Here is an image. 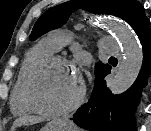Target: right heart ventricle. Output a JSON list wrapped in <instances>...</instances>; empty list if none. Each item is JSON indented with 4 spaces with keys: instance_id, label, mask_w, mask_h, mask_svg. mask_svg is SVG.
<instances>
[{
    "instance_id": "right-heart-ventricle-1",
    "label": "right heart ventricle",
    "mask_w": 151,
    "mask_h": 131,
    "mask_svg": "<svg viewBox=\"0 0 151 131\" xmlns=\"http://www.w3.org/2000/svg\"><path fill=\"white\" fill-rule=\"evenodd\" d=\"M54 52L55 50L50 44L46 40H42L25 55L10 97V108L14 115L22 116L32 112L24 101L26 76L35 63L47 56L53 55Z\"/></svg>"
}]
</instances>
